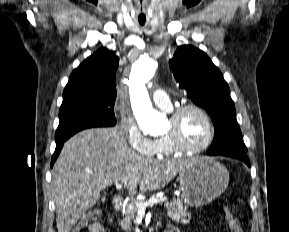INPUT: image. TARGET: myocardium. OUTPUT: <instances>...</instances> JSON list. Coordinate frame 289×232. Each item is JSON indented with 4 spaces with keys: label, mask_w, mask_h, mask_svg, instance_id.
<instances>
[{
    "label": "myocardium",
    "mask_w": 289,
    "mask_h": 232,
    "mask_svg": "<svg viewBox=\"0 0 289 232\" xmlns=\"http://www.w3.org/2000/svg\"><path fill=\"white\" fill-rule=\"evenodd\" d=\"M191 110L198 112L203 117L208 127V135H207L206 140L198 146H188L185 143H183L175 128L181 116L185 112L191 111ZM170 121L173 123L174 129L170 133L164 135V137L169 143V145L176 152L189 153V154L199 153L207 149L214 140L215 127H214L213 121L211 117L209 116V114L207 113V111L197 104H185V105L175 108L170 114Z\"/></svg>",
    "instance_id": "f54148a6"
}]
</instances>
